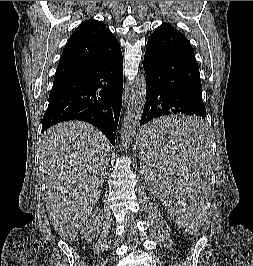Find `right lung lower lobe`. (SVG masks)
Wrapping results in <instances>:
<instances>
[{
  "label": "right lung lower lobe",
  "instance_id": "right-lung-lower-lobe-1",
  "mask_svg": "<svg viewBox=\"0 0 253 266\" xmlns=\"http://www.w3.org/2000/svg\"><path fill=\"white\" fill-rule=\"evenodd\" d=\"M122 89V52L104 63L54 82L42 132L59 122L82 120L96 126L114 145Z\"/></svg>",
  "mask_w": 253,
  "mask_h": 266
}]
</instances>
